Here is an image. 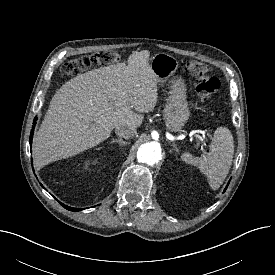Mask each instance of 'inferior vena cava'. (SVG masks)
Masks as SVG:
<instances>
[{"instance_id": "obj_1", "label": "inferior vena cava", "mask_w": 275, "mask_h": 275, "mask_svg": "<svg viewBox=\"0 0 275 275\" xmlns=\"http://www.w3.org/2000/svg\"><path fill=\"white\" fill-rule=\"evenodd\" d=\"M115 133L120 138L129 139L137 134L136 128L134 126L121 125L115 128Z\"/></svg>"}]
</instances>
